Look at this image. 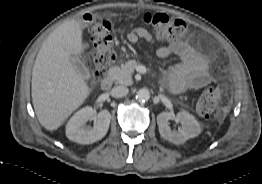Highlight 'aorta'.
Here are the masks:
<instances>
[{
  "label": "aorta",
  "mask_w": 262,
  "mask_h": 184,
  "mask_svg": "<svg viewBox=\"0 0 262 184\" xmlns=\"http://www.w3.org/2000/svg\"><path fill=\"white\" fill-rule=\"evenodd\" d=\"M136 99L139 102H145L148 101L150 99V92L148 89L146 88H142L140 89L137 94H136Z\"/></svg>",
  "instance_id": "obj_1"
}]
</instances>
